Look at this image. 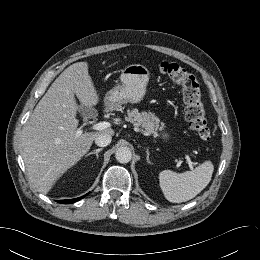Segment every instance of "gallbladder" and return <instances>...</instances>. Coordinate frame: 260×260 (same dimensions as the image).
<instances>
[{
	"mask_svg": "<svg viewBox=\"0 0 260 260\" xmlns=\"http://www.w3.org/2000/svg\"><path fill=\"white\" fill-rule=\"evenodd\" d=\"M78 111L84 116V117H95L97 115V111L94 108H88L84 106H79Z\"/></svg>",
	"mask_w": 260,
	"mask_h": 260,
	"instance_id": "1",
	"label": "gallbladder"
}]
</instances>
